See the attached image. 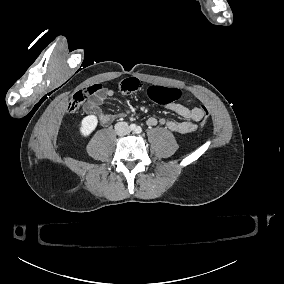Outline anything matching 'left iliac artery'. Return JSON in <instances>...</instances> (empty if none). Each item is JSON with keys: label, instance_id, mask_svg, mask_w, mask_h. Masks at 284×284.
I'll return each instance as SVG.
<instances>
[{"label": "left iliac artery", "instance_id": "1", "mask_svg": "<svg viewBox=\"0 0 284 284\" xmlns=\"http://www.w3.org/2000/svg\"><path fill=\"white\" fill-rule=\"evenodd\" d=\"M135 131H136L137 134H139V133L142 132V129H141V127H137Z\"/></svg>", "mask_w": 284, "mask_h": 284}]
</instances>
